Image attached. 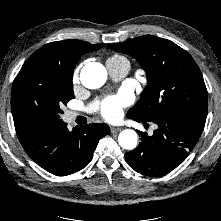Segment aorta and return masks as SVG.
Returning a JSON list of instances; mask_svg holds the SVG:
<instances>
[{"label":"aorta","instance_id":"obj_1","mask_svg":"<svg viewBox=\"0 0 221 221\" xmlns=\"http://www.w3.org/2000/svg\"><path fill=\"white\" fill-rule=\"evenodd\" d=\"M80 80L86 88H100L107 80L106 68L98 62H90L81 69ZM137 141L138 135L132 129H125L118 136L119 145L126 150L135 149Z\"/></svg>","mask_w":221,"mask_h":221}]
</instances>
